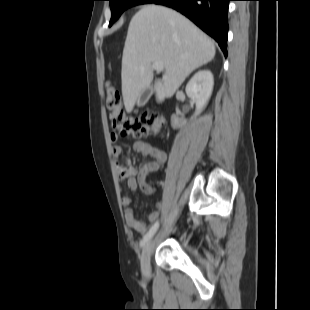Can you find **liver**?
I'll list each match as a JSON object with an SVG mask.
<instances>
[{"label":"liver","mask_w":310,"mask_h":310,"mask_svg":"<svg viewBox=\"0 0 310 310\" xmlns=\"http://www.w3.org/2000/svg\"><path fill=\"white\" fill-rule=\"evenodd\" d=\"M215 56L213 41L180 13L146 5L131 19L122 57V95L131 113L139 95L151 85L153 63L165 73L155 81L157 102L174 95L188 75Z\"/></svg>","instance_id":"obj_1"}]
</instances>
